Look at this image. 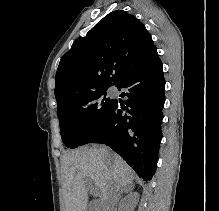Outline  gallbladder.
Here are the masks:
<instances>
[{"instance_id": "obj_1", "label": "gallbladder", "mask_w": 219, "mask_h": 211, "mask_svg": "<svg viewBox=\"0 0 219 211\" xmlns=\"http://www.w3.org/2000/svg\"><path fill=\"white\" fill-rule=\"evenodd\" d=\"M94 191V189H93ZM88 211H97L96 207H94V205H91V207H89Z\"/></svg>"}]
</instances>
